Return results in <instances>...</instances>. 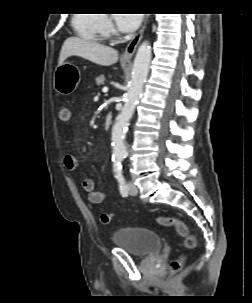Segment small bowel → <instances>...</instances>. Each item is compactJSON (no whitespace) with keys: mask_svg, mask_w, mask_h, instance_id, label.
Masks as SVG:
<instances>
[{"mask_svg":"<svg viewBox=\"0 0 252 303\" xmlns=\"http://www.w3.org/2000/svg\"><path fill=\"white\" fill-rule=\"evenodd\" d=\"M64 165L66 169L69 171H74L77 169V158L73 153H66L63 158ZM83 188L88 194V201L92 204H100L102 203L106 197L107 194L101 191H96L94 189V182L90 178H85L82 181Z\"/></svg>","mask_w":252,"mask_h":303,"instance_id":"c3829d8e","label":"small bowel"}]
</instances>
